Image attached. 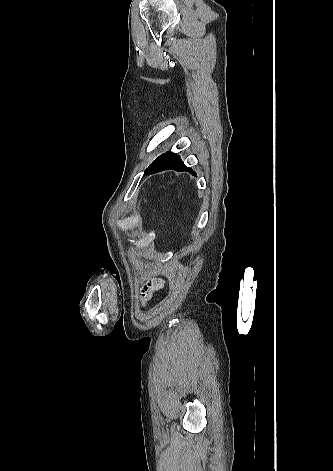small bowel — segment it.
<instances>
[{
    "mask_svg": "<svg viewBox=\"0 0 333 471\" xmlns=\"http://www.w3.org/2000/svg\"><path fill=\"white\" fill-rule=\"evenodd\" d=\"M165 285V281L162 278H144L140 287L139 298L143 306H145L153 294L162 289Z\"/></svg>",
    "mask_w": 333,
    "mask_h": 471,
    "instance_id": "c3829d8e",
    "label": "small bowel"
}]
</instances>
